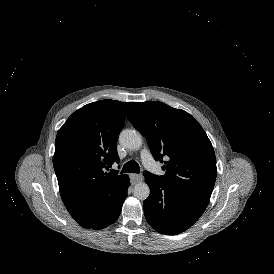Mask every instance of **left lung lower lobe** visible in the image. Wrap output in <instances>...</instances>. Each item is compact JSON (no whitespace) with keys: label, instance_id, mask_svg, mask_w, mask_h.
Here are the masks:
<instances>
[{"label":"left lung lower lobe","instance_id":"obj_1","mask_svg":"<svg viewBox=\"0 0 274 274\" xmlns=\"http://www.w3.org/2000/svg\"><path fill=\"white\" fill-rule=\"evenodd\" d=\"M144 176L150 187V195L143 202L145 217L160 233L175 235L187 230L209 203L208 197L185 192L153 175Z\"/></svg>","mask_w":274,"mask_h":274}]
</instances>
